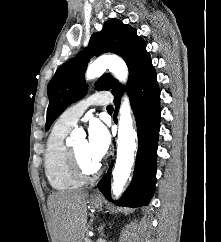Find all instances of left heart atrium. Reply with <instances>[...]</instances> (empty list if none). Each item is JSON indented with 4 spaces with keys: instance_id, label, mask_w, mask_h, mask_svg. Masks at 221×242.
<instances>
[{
    "instance_id": "39dd6f15",
    "label": "left heart atrium",
    "mask_w": 221,
    "mask_h": 242,
    "mask_svg": "<svg viewBox=\"0 0 221 242\" xmlns=\"http://www.w3.org/2000/svg\"><path fill=\"white\" fill-rule=\"evenodd\" d=\"M110 145L107 127L98 119H93L88 126L87 147L90 157L99 163Z\"/></svg>"
}]
</instances>
